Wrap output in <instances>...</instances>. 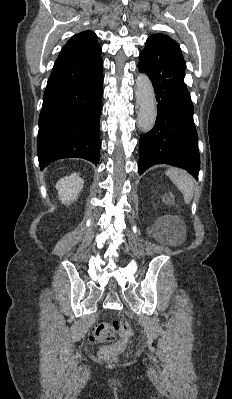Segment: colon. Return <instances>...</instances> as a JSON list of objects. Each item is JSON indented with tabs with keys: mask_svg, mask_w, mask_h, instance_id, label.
Here are the masks:
<instances>
[{
	"mask_svg": "<svg viewBox=\"0 0 232 399\" xmlns=\"http://www.w3.org/2000/svg\"><path fill=\"white\" fill-rule=\"evenodd\" d=\"M131 321H102L94 326L95 341H102V347H113V341H121L123 328H131ZM101 358H114V351H101Z\"/></svg>",
	"mask_w": 232,
	"mask_h": 399,
	"instance_id": "5ec220e1",
	"label": "colon"
}]
</instances>
